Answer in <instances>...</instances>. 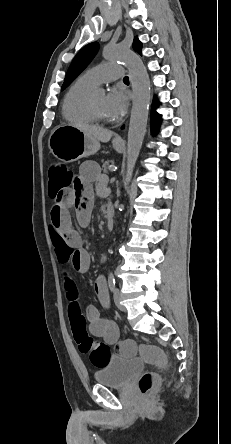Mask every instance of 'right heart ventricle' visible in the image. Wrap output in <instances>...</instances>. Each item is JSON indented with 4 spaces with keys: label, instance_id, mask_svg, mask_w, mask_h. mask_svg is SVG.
Masks as SVG:
<instances>
[{
    "label": "right heart ventricle",
    "instance_id": "right-heart-ventricle-1",
    "mask_svg": "<svg viewBox=\"0 0 231 444\" xmlns=\"http://www.w3.org/2000/svg\"><path fill=\"white\" fill-rule=\"evenodd\" d=\"M96 85L84 76L78 78L67 91L62 105L63 117L76 124H91L94 119L88 110V100Z\"/></svg>",
    "mask_w": 231,
    "mask_h": 444
}]
</instances>
